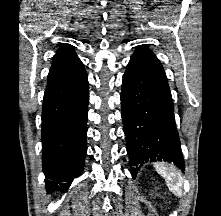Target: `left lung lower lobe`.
Returning a JSON list of instances; mask_svg holds the SVG:
<instances>
[{
    "label": "left lung lower lobe",
    "instance_id": "left-lung-lower-lobe-1",
    "mask_svg": "<svg viewBox=\"0 0 221 216\" xmlns=\"http://www.w3.org/2000/svg\"><path fill=\"white\" fill-rule=\"evenodd\" d=\"M121 108L133 178L148 161H172L184 170L167 78L144 44L136 47L123 75Z\"/></svg>",
    "mask_w": 221,
    "mask_h": 216
}]
</instances>
